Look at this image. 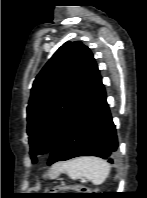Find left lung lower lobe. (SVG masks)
I'll use <instances>...</instances> for the list:
<instances>
[{
  "label": "left lung lower lobe",
  "instance_id": "obj_1",
  "mask_svg": "<svg viewBox=\"0 0 147 198\" xmlns=\"http://www.w3.org/2000/svg\"><path fill=\"white\" fill-rule=\"evenodd\" d=\"M117 148L116 129L98 72L88 96L50 152L48 165L88 155L113 163Z\"/></svg>",
  "mask_w": 147,
  "mask_h": 198
}]
</instances>
